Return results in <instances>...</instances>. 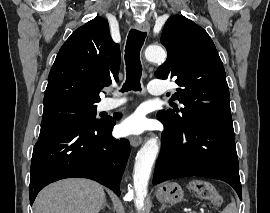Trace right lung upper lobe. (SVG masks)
<instances>
[{"instance_id":"obj_1","label":"right lung upper lobe","mask_w":270,"mask_h":213,"mask_svg":"<svg viewBox=\"0 0 270 213\" xmlns=\"http://www.w3.org/2000/svg\"><path fill=\"white\" fill-rule=\"evenodd\" d=\"M120 61L108 21L96 17L87 22L60 48L48 76L44 106L66 100L99 102L103 84L119 80Z\"/></svg>"}]
</instances>
